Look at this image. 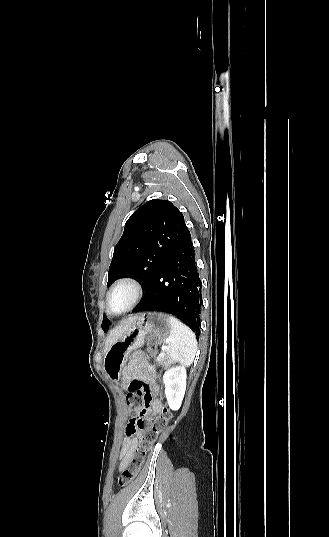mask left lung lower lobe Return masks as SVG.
<instances>
[{
  "instance_id": "obj_1",
  "label": "left lung lower lobe",
  "mask_w": 329,
  "mask_h": 537,
  "mask_svg": "<svg viewBox=\"0 0 329 537\" xmlns=\"http://www.w3.org/2000/svg\"><path fill=\"white\" fill-rule=\"evenodd\" d=\"M201 288L190 234L162 263L133 312L162 311L173 314L199 337Z\"/></svg>"
}]
</instances>
